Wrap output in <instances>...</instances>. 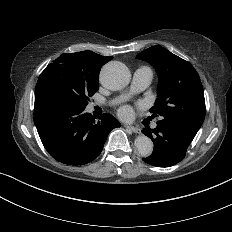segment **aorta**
Instances as JSON below:
<instances>
[{
	"mask_svg": "<svg viewBox=\"0 0 232 232\" xmlns=\"http://www.w3.org/2000/svg\"><path fill=\"white\" fill-rule=\"evenodd\" d=\"M131 79L127 66L118 61H110L105 64L100 72V81L104 87L112 91L121 90L126 87ZM134 146L142 157L149 156L153 151V142L145 135H139Z\"/></svg>",
	"mask_w": 232,
	"mask_h": 232,
	"instance_id": "obj_1",
	"label": "aorta"
}]
</instances>
